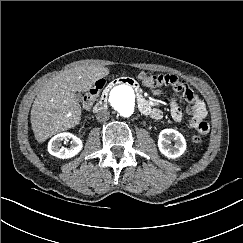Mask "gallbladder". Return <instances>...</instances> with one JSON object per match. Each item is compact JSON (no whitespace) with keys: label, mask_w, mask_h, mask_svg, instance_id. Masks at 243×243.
Masks as SVG:
<instances>
[{"label":"gallbladder","mask_w":243,"mask_h":243,"mask_svg":"<svg viewBox=\"0 0 243 243\" xmlns=\"http://www.w3.org/2000/svg\"><path fill=\"white\" fill-rule=\"evenodd\" d=\"M77 99H78V100L80 99V94H77Z\"/></svg>","instance_id":"bac80fb5"}]
</instances>
